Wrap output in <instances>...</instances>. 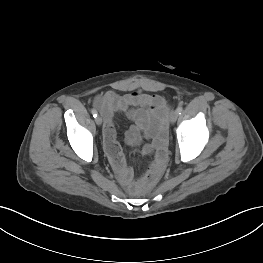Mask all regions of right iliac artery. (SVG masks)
Masks as SVG:
<instances>
[{
  "instance_id": "1",
  "label": "right iliac artery",
  "mask_w": 263,
  "mask_h": 263,
  "mask_svg": "<svg viewBox=\"0 0 263 263\" xmlns=\"http://www.w3.org/2000/svg\"><path fill=\"white\" fill-rule=\"evenodd\" d=\"M91 113H92L94 118L97 117V115H98V113L95 109H92Z\"/></svg>"
}]
</instances>
